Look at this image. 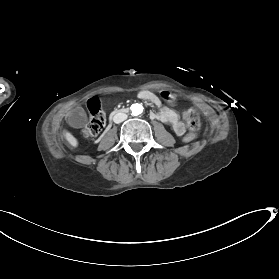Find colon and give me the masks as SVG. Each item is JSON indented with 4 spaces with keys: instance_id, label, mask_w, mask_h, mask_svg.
Wrapping results in <instances>:
<instances>
[{
    "instance_id": "colon-1",
    "label": "colon",
    "mask_w": 279,
    "mask_h": 279,
    "mask_svg": "<svg viewBox=\"0 0 279 279\" xmlns=\"http://www.w3.org/2000/svg\"><path fill=\"white\" fill-rule=\"evenodd\" d=\"M183 118L190 132L185 136L186 142H191L195 138V132L200 128V118L198 113L193 109H186L183 112ZM105 127V114L101 108L91 113L90 119L83 129L85 137H94L103 131Z\"/></svg>"
}]
</instances>
